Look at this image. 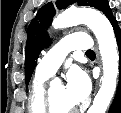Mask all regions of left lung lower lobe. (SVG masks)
Wrapping results in <instances>:
<instances>
[{"instance_id":"left-lung-lower-lobe-1","label":"left lung lower lobe","mask_w":121,"mask_h":113,"mask_svg":"<svg viewBox=\"0 0 121 113\" xmlns=\"http://www.w3.org/2000/svg\"><path fill=\"white\" fill-rule=\"evenodd\" d=\"M110 22L113 26V29H114V32L116 35V39H117V43H118V47H119L120 78H119V84H118L115 99H114L108 113H120V104H121V31H120L117 21L114 17L112 19H110Z\"/></svg>"}]
</instances>
